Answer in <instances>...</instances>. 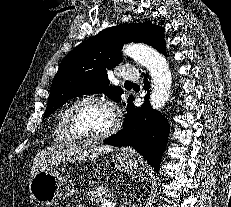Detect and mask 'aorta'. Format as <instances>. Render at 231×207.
<instances>
[{
	"mask_svg": "<svg viewBox=\"0 0 231 207\" xmlns=\"http://www.w3.org/2000/svg\"><path fill=\"white\" fill-rule=\"evenodd\" d=\"M123 54L134 59L146 68L152 78L150 104L160 110L169 100L172 77L166 59L155 49L144 44L132 43L126 45Z\"/></svg>",
	"mask_w": 231,
	"mask_h": 207,
	"instance_id": "aorta-1",
	"label": "aorta"
}]
</instances>
